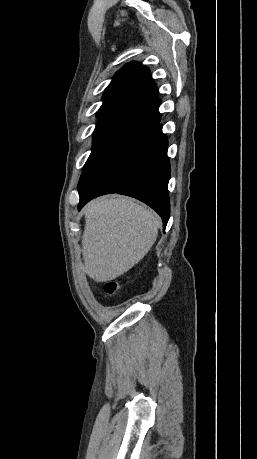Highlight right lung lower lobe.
I'll return each instance as SVG.
<instances>
[{
    "label": "right lung lower lobe",
    "instance_id": "1",
    "mask_svg": "<svg viewBox=\"0 0 257 459\" xmlns=\"http://www.w3.org/2000/svg\"><path fill=\"white\" fill-rule=\"evenodd\" d=\"M159 105L160 101L127 119L107 147L83 169L78 184L79 210L97 196L123 194L153 208L165 229L170 216V165Z\"/></svg>",
    "mask_w": 257,
    "mask_h": 459
}]
</instances>
